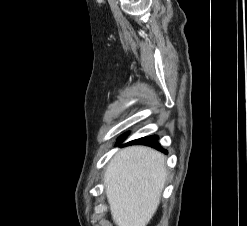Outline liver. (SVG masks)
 Masks as SVG:
<instances>
[{"label":"liver","mask_w":247,"mask_h":226,"mask_svg":"<svg viewBox=\"0 0 247 226\" xmlns=\"http://www.w3.org/2000/svg\"><path fill=\"white\" fill-rule=\"evenodd\" d=\"M167 178L165 157L145 146L119 151L104 173L105 191L117 226H146L160 203Z\"/></svg>","instance_id":"6515ba94"}]
</instances>
